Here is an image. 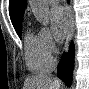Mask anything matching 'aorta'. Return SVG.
I'll return each instance as SVG.
<instances>
[{"instance_id": "762f6f07", "label": "aorta", "mask_w": 89, "mask_h": 89, "mask_svg": "<svg viewBox=\"0 0 89 89\" xmlns=\"http://www.w3.org/2000/svg\"><path fill=\"white\" fill-rule=\"evenodd\" d=\"M30 6L37 21L47 26L49 24L48 0H30Z\"/></svg>"}]
</instances>
